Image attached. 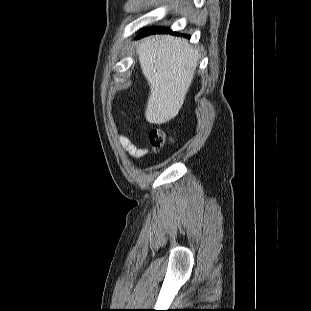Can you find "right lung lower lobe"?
<instances>
[{
  "instance_id": "1",
  "label": "right lung lower lobe",
  "mask_w": 311,
  "mask_h": 311,
  "mask_svg": "<svg viewBox=\"0 0 311 311\" xmlns=\"http://www.w3.org/2000/svg\"><path fill=\"white\" fill-rule=\"evenodd\" d=\"M171 33L172 31L170 29H164L162 27H155V28H147V29H143L141 32H140V35H139V38L140 37H143V36H147V35H150V34H155V33ZM185 37H189L187 35H183Z\"/></svg>"
}]
</instances>
